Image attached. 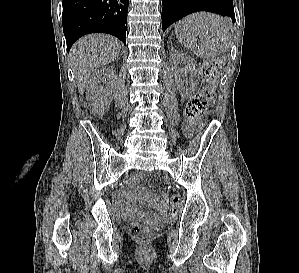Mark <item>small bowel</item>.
<instances>
[{
    "label": "small bowel",
    "mask_w": 299,
    "mask_h": 273,
    "mask_svg": "<svg viewBox=\"0 0 299 273\" xmlns=\"http://www.w3.org/2000/svg\"><path fill=\"white\" fill-rule=\"evenodd\" d=\"M140 197L154 209L155 217L159 219L167 217V206L164 197L160 198L152 194H141ZM134 200L135 197L127 196L122 202V210L128 217L141 215V213L133 207Z\"/></svg>",
    "instance_id": "small-bowel-1"
}]
</instances>
